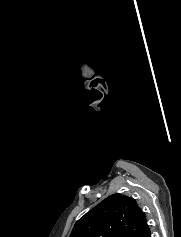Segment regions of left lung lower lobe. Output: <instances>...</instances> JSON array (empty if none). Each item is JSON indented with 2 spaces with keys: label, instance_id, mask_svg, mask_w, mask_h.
I'll return each mask as SVG.
<instances>
[{
  "label": "left lung lower lobe",
  "instance_id": "0a47b994",
  "mask_svg": "<svg viewBox=\"0 0 181 237\" xmlns=\"http://www.w3.org/2000/svg\"><path fill=\"white\" fill-rule=\"evenodd\" d=\"M140 237H151V232L149 227H147Z\"/></svg>",
  "mask_w": 181,
  "mask_h": 237
}]
</instances>
